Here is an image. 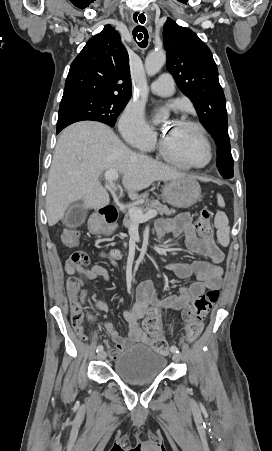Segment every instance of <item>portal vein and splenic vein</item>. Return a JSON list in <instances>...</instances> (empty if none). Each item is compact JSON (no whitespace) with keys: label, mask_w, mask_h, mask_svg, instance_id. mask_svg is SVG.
Listing matches in <instances>:
<instances>
[{"label":"portal vein and splenic vein","mask_w":272,"mask_h":451,"mask_svg":"<svg viewBox=\"0 0 272 451\" xmlns=\"http://www.w3.org/2000/svg\"><path fill=\"white\" fill-rule=\"evenodd\" d=\"M105 180L109 182L111 188H115V180H118V172L116 170H106L104 174ZM129 216L133 222V224H141V222H148V220H151V218H156L157 212L156 210H149V212H146V214H143L141 210H138V208H130L129 210Z\"/></svg>","instance_id":"portal-vein-and-splenic-vein-1"}]
</instances>
